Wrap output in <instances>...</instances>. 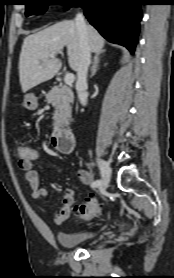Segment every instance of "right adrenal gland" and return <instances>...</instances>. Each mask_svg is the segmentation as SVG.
Listing matches in <instances>:
<instances>
[{"label":"right adrenal gland","mask_w":174,"mask_h":278,"mask_svg":"<svg viewBox=\"0 0 174 278\" xmlns=\"http://www.w3.org/2000/svg\"><path fill=\"white\" fill-rule=\"evenodd\" d=\"M99 62H100V53H96L94 56L90 77H93L96 74L97 70L99 69Z\"/></svg>","instance_id":"obj_1"}]
</instances>
